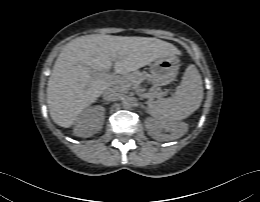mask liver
Masks as SVG:
<instances>
[{
	"instance_id": "1",
	"label": "liver",
	"mask_w": 260,
	"mask_h": 202,
	"mask_svg": "<svg viewBox=\"0 0 260 202\" xmlns=\"http://www.w3.org/2000/svg\"><path fill=\"white\" fill-rule=\"evenodd\" d=\"M177 52L166 41L151 37L86 35L73 39L59 54L47 86V103L52 120L69 128L78 115L117 81L96 78L92 71L117 74L138 70L159 57Z\"/></svg>"
}]
</instances>
